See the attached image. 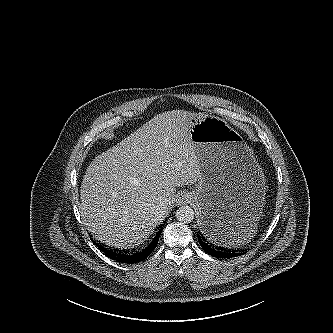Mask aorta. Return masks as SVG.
<instances>
[{
  "mask_svg": "<svg viewBox=\"0 0 333 333\" xmlns=\"http://www.w3.org/2000/svg\"><path fill=\"white\" fill-rule=\"evenodd\" d=\"M176 218L183 223H190L194 219V210L190 206H181L176 211Z\"/></svg>",
  "mask_w": 333,
  "mask_h": 333,
  "instance_id": "aorta-1",
  "label": "aorta"
}]
</instances>
